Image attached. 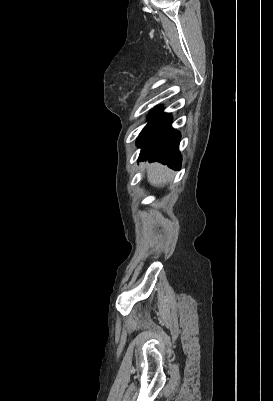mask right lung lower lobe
<instances>
[{"instance_id": "obj_1", "label": "right lung lower lobe", "mask_w": 273, "mask_h": 401, "mask_svg": "<svg viewBox=\"0 0 273 401\" xmlns=\"http://www.w3.org/2000/svg\"><path fill=\"white\" fill-rule=\"evenodd\" d=\"M171 122L168 113L159 112L151 118L137 138L138 147L142 148L138 161H158L172 169H180V133L171 127Z\"/></svg>"}]
</instances>
